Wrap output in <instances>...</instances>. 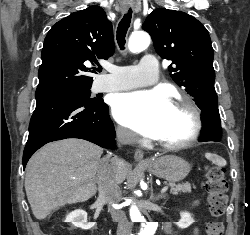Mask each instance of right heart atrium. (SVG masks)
Here are the masks:
<instances>
[{"instance_id":"obj_1","label":"right heart atrium","mask_w":250,"mask_h":235,"mask_svg":"<svg viewBox=\"0 0 250 235\" xmlns=\"http://www.w3.org/2000/svg\"><path fill=\"white\" fill-rule=\"evenodd\" d=\"M116 134L119 140H121L122 142L129 143L135 140L134 134L130 132L128 129L121 126H118L116 128Z\"/></svg>"}]
</instances>
